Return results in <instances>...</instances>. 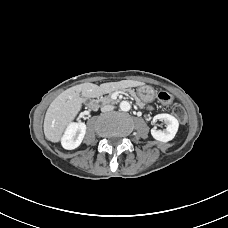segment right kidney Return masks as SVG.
<instances>
[{"label":"right kidney","mask_w":228,"mask_h":228,"mask_svg":"<svg viewBox=\"0 0 228 228\" xmlns=\"http://www.w3.org/2000/svg\"><path fill=\"white\" fill-rule=\"evenodd\" d=\"M86 134V125L85 123L78 122V123H71L63 137H62V146L67 150H73L80 146L83 138Z\"/></svg>","instance_id":"obj_1"}]
</instances>
